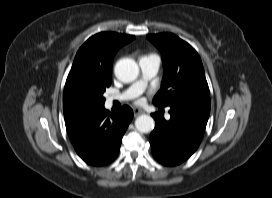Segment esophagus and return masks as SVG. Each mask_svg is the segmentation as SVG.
<instances>
[{
  "label": "esophagus",
  "mask_w": 272,
  "mask_h": 198,
  "mask_svg": "<svg viewBox=\"0 0 272 198\" xmlns=\"http://www.w3.org/2000/svg\"><path fill=\"white\" fill-rule=\"evenodd\" d=\"M133 112H134V116L137 117L141 114H144V111L142 109H139V108H133Z\"/></svg>",
  "instance_id": "34e87169"
}]
</instances>
